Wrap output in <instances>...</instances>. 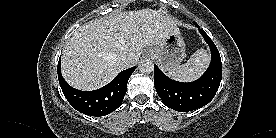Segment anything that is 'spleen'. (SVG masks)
Segmentation results:
<instances>
[{"instance_id":"obj_1","label":"spleen","mask_w":276,"mask_h":138,"mask_svg":"<svg viewBox=\"0 0 276 138\" xmlns=\"http://www.w3.org/2000/svg\"><path fill=\"white\" fill-rule=\"evenodd\" d=\"M210 61L205 49L197 50L183 65H179L168 72V76L182 82L194 81L201 76Z\"/></svg>"}]
</instances>
